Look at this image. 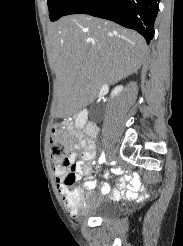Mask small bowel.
<instances>
[{
  "label": "small bowel",
  "instance_id": "c3829d8e",
  "mask_svg": "<svg viewBox=\"0 0 183 246\" xmlns=\"http://www.w3.org/2000/svg\"><path fill=\"white\" fill-rule=\"evenodd\" d=\"M81 153V160L76 161L77 153ZM96 150L95 143L92 137L86 139L81 145L72 144L70 146V154L68 156L69 164L65 166L56 165L54 167V175L57 182V188L62 196L66 208L70 211L72 216H78L88 211L95 203L96 197L93 194H85L81 189L70 190V185L65 182V178H75L76 180H84V188L92 190L95 187L94 179L92 176V166L90 162L95 158ZM73 172V173H70ZM127 169L124 165L120 169H111V174H122L118 179L116 188L111 189L108 185H102L100 192L108 195L111 200L117 201L124 197L126 199H135L136 192L139 189H146V184H141L139 174H132L133 170ZM105 177L109 178L110 174L105 173ZM126 179H131L130 184H126ZM81 198L86 206V209L72 208L71 203L76 198Z\"/></svg>",
  "mask_w": 183,
  "mask_h": 246
}]
</instances>
